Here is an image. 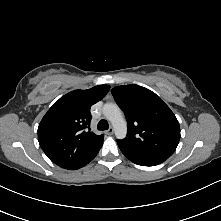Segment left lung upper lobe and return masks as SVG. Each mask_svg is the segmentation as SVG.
I'll return each mask as SVG.
<instances>
[{
  "label": "left lung upper lobe",
  "mask_w": 221,
  "mask_h": 221,
  "mask_svg": "<svg viewBox=\"0 0 221 221\" xmlns=\"http://www.w3.org/2000/svg\"><path fill=\"white\" fill-rule=\"evenodd\" d=\"M111 92L128 121L127 136L119 141L131 148L171 156L180 140V126L162 99L138 85L117 86Z\"/></svg>",
  "instance_id": "obj_1"
}]
</instances>
